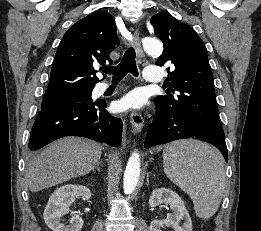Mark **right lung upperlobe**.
Here are the masks:
<instances>
[{"label":"right lung upper lobe","instance_id":"cb5924a9","mask_svg":"<svg viewBox=\"0 0 261 231\" xmlns=\"http://www.w3.org/2000/svg\"><path fill=\"white\" fill-rule=\"evenodd\" d=\"M117 42L115 20L107 12L92 13L76 22L59 44L46 92L93 89L99 82L94 66L112 63L109 54Z\"/></svg>","mask_w":261,"mask_h":231}]
</instances>
